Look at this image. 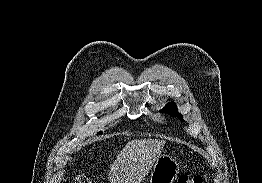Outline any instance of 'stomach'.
I'll return each mask as SVG.
<instances>
[{
  "label": "stomach",
  "instance_id": "1",
  "mask_svg": "<svg viewBox=\"0 0 262 183\" xmlns=\"http://www.w3.org/2000/svg\"><path fill=\"white\" fill-rule=\"evenodd\" d=\"M180 172L178 161L170 155H161L152 166L149 183H174Z\"/></svg>",
  "mask_w": 262,
  "mask_h": 183
}]
</instances>
